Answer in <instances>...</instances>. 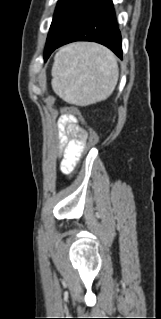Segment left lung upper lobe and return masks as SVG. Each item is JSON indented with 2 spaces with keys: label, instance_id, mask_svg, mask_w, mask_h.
<instances>
[{
  "label": "left lung upper lobe",
  "instance_id": "left-lung-upper-lobe-1",
  "mask_svg": "<svg viewBox=\"0 0 161 319\" xmlns=\"http://www.w3.org/2000/svg\"><path fill=\"white\" fill-rule=\"evenodd\" d=\"M102 0H59L48 33L45 50L65 36L71 28Z\"/></svg>",
  "mask_w": 161,
  "mask_h": 319
}]
</instances>
